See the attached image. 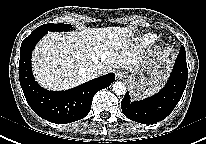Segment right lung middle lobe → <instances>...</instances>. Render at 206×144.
Instances as JSON below:
<instances>
[{
  "label": "right lung middle lobe",
  "instance_id": "right-lung-middle-lobe-1",
  "mask_svg": "<svg viewBox=\"0 0 206 144\" xmlns=\"http://www.w3.org/2000/svg\"><path fill=\"white\" fill-rule=\"evenodd\" d=\"M72 28L71 25L69 24H64V23H59V24H54V23H49V24H44L36 28L34 31H70Z\"/></svg>",
  "mask_w": 206,
  "mask_h": 144
}]
</instances>
